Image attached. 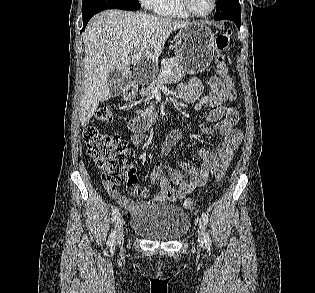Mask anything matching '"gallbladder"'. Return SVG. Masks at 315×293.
Listing matches in <instances>:
<instances>
[{
	"mask_svg": "<svg viewBox=\"0 0 315 293\" xmlns=\"http://www.w3.org/2000/svg\"><path fill=\"white\" fill-rule=\"evenodd\" d=\"M109 81L113 83V96H117L121 92V82L124 81L122 72L120 70H114L109 75Z\"/></svg>",
	"mask_w": 315,
	"mask_h": 293,
	"instance_id": "1",
	"label": "gallbladder"
}]
</instances>
